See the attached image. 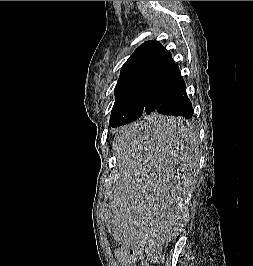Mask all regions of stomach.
<instances>
[{
    "instance_id": "0dacf381",
    "label": "stomach",
    "mask_w": 253,
    "mask_h": 266,
    "mask_svg": "<svg viewBox=\"0 0 253 266\" xmlns=\"http://www.w3.org/2000/svg\"><path fill=\"white\" fill-rule=\"evenodd\" d=\"M188 137H189V140H190L191 139V136L188 135Z\"/></svg>"
}]
</instances>
